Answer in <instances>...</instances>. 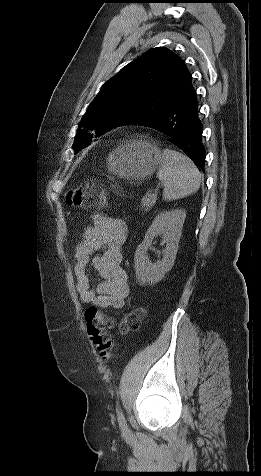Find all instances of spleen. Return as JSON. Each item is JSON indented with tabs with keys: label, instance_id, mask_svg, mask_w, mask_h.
<instances>
[{
	"label": "spleen",
	"instance_id": "spleen-1",
	"mask_svg": "<svg viewBox=\"0 0 261 476\" xmlns=\"http://www.w3.org/2000/svg\"><path fill=\"white\" fill-rule=\"evenodd\" d=\"M157 177L164 185L163 199L167 201L187 197L197 192L201 173L193 161L175 150L166 149Z\"/></svg>",
	"mask_w": 261,
	"mask_h": 476
}]
</instances>
